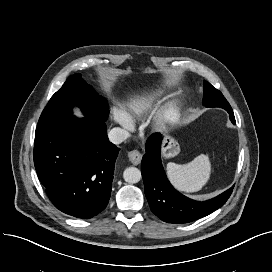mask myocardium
Returning <instances> with one entry per match:
<instances>
[{"label":"myocardium","mask_w":272,"mask_h":272,"mask_svg":"<svg viewBox=\"0 0 272 272\" xmlns=\"http://www.w3.org/2000/svg\"><path fill=\"white\" fill-rule=\"evenodd\" d=\"M180 118V109L176 103H171L160 109L156 116V126L165 128L175 124Z\"/></svg>","instance_id":"myocardium-1"}]
</instances>
